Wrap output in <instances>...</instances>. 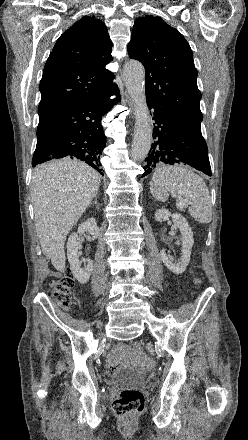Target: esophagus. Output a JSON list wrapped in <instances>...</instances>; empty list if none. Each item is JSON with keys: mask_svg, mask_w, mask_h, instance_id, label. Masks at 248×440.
<instances>
[{"mask_svg": "<svg viewBox=\"0 0 248 440\" xmlns=\"http://www.w3.org/2000/svg\"><path fill=\"white\" fill-rule=\"evenodd\" d=\"M129 104H130V106L132 105V101H131V99H129Z\"/></svg>", "mask_w": 248, "mask_h": 440, "instance_id": "1", "label": "esophagus"}]
</instances>
